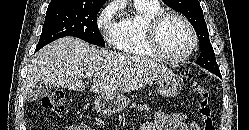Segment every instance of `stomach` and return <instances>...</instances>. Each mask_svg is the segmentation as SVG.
Here are the masks:
<instances>
[{
    "instance_id": "1",
    "label": "stomach",
    "mask_w": 249,
    "mask_h": 130,
    "mask_svg": "<svg viewBox=\"0 0 249 130\" xmlns=\"http://www.w3.org/2000/svg\"><path fill=\"white\" fill-rule=\"evenodd\" d=\"M183 87L182 80L174 73L165 74L157 79V92L163 97L177 95ZM130 99L123 94L98 96L95 99L96 109L103 114H113L129 105Z\"/></svg>"
}]
</instances>
